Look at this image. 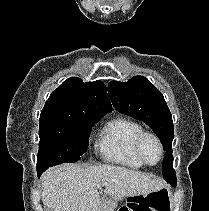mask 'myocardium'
Segmentation results:
<instances>
[{
	"mask_svg": "<svg viewBox=\"0 0 209 211\" xmlns=\"http://www.w3.org/2000/svg\"><path fill=\"white\" fill-rule=\"evenodd\" d=\"M147 139H151L155 141L159 147V159L155 163H150L144 156L143 144ZM135 152L143 164L148 165V166H155L158 163H160V161L162 160L163 155H164V148H163V144L160 138L156 134L149 131H142L136 139Z\"/></svg>",
	"mask_w": 209,
	"mask_h": 211,
	"instance_id": "f54148a6",
	"label": "myocardium"
}]
</instances>
